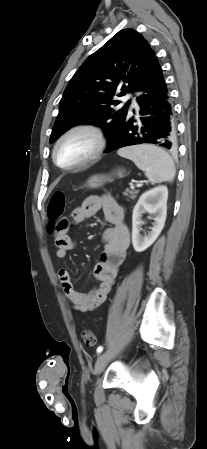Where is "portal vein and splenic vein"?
<instances>
[{"mask_svg":"<svg viewBox=\"0 0 207 449\" xmlns=\"http://www.w3.org/2000/svg\"><path fill=\"white\" fill-rule=\"evenodd\" d=\"M136 186H137V187H141V186H142V184H141V183H139V184H137ZM131 188H134V187L132 186Z\"/></svg>","mask_w":207,"mask_h":449,"instance_id":"portal-vein-and-splenic-vein-1","label":"portal vein and splenic vein"}]
</instances>
